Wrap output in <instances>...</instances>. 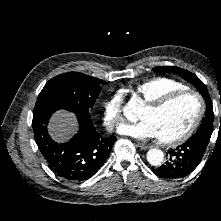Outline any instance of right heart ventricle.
Listing matches in <instances>:
<instances>
[{"instance_id":"obj_1","label":"right heart ventricle","mask_w":221,"mask_h":221,"mask_svg":"<svg viewBox=\"0 0 221 221\" xmlns=\"http://www.w3.org/2000/svg\"><path fill=\"white\" fill-rule=\"evenodd\" d=\"M182 89H188V87L169 77H155L136 84L131 88V91L142 99L144 103H149L167 93Z\"/></svg>"}]
</instances>
